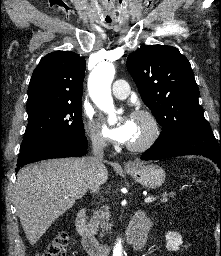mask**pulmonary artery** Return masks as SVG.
Instances as JSON below:
<instances>
[{
  "label": "pulmonary artery",
  "instance_id": "1",
  "mask_svg": "<svg viewBox=\"0 0 221 256\" xmlns=\"http://www.w3.org/2000/svg\"><path fill=\"white\" fill-rule=\"evenodd\" d=\"M112 93L116 98L125 99L129 95V85L125 80H117L113 83Z\"/></svg>",
  "mask_w": 221,
  "mask_h": 256
}]
</instances>
